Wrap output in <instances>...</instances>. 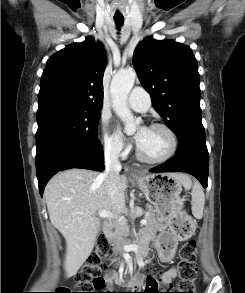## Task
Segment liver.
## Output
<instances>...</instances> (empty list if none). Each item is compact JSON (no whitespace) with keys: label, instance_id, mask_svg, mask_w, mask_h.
<instances>
[{"label":"liver","instance_id":"1","mask_svg":"<svg viewBox=\"0 0 245 293\" xmlns=\"http://www.w3.org/2000/svg\"><path fill=\"white\" fill-rule=\"evenodd\" d=\"M174 176L184 187L191 186L188 176L179 173ZM127 184V177L120 176L119 193L111 198L102 174L78 168L63 171L48 182L44 197L52 225L66 240L67 278L76 275L93 250L101 227L96 212L120 213L125 205Z\"/></svg>","mask_w":245,"mask_h":293}]
</instances>
